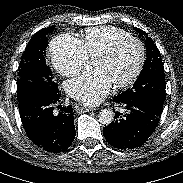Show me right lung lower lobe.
I'll return each instance as SVG.
<instances>
[{
  "label": "right lung lower lobe",
  "mask_w": 183,
  "mask_h": 183,
  "mask_svg": "<svg viewBox=\"0 0 183 183\" xmlns=\"http://www.w3.org/2000/svg\"><path fill=\"white\" fill-rule=\"evenodd\" d=\"M60 96L59 91L53 95L34 94L18 104L29 139L51 153L67 150L75 138L73 108L67 106L62 107L59 114L53 112V106L60 102Z\"/></svg>",
  "instance_id": "right-lung-lower-lobe-1"
}]
</instances>
